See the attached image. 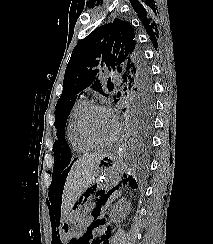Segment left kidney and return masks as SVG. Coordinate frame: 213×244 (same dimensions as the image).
I'll return each instance as SVG.
<instances>
[{
  "mask_svg": "<svg viewBox=\"0 0 213 244\" xmlns=\"http://www.w3.org/2000/svg\"><path fill=\"white\" fill-rule=\"evenodd\" d=\"M127 210H129V205L125 202V200H121L113 209V218L117 219V217H124L126 215Z\"/></svg>",
  "mask_w": 213,
  "mask_h": 244,
  "instance_id": "obj_1",
  "label": "left kidney"
}]
</instances>
